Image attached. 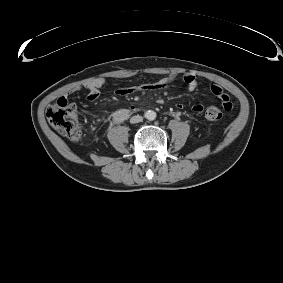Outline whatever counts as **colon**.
I'll list each match as a JSON object with an SVG mask.
<instances>
[{"mask_svg": "<svg viewBox=\"0 0 283 283\" xmlns=\"http://www.w3.org/2000/svg\"><path fill=\"white\" fill-rule=\"evenodd\" d=\"M75 110L74 103L65 97H60L46 111L50 125L71 141H78L81 136V127L76 120ZM229 110L227 109V111ZM205 117L209 121H219L223 117V111L217 106H210L205 111Z\"/></svg>", "mask_w": 283, "mask_h": 283, "instance_id": "colon-1", "label": "colon"}]
</instances>
